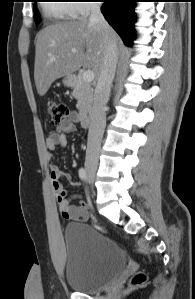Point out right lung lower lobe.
<instances>
[{"label":"right lung lower lobe","mask_w":195,"mask_h":299,"mask_svg":"<svg viewBox=\"0 0 195 299\" xmlns=\"http://www.w3.org/2000/svg\"><path fill=\"white\" fill-rule=\"evenodd\" d=\"M101 7L105 19L121 36L126 45L131 46L135 38L134 11L138 0H103Z\"/></svg>","instance_id":"right-lung-lower-lobe-1"}]
</instances>
